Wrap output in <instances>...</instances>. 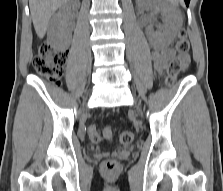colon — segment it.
<instances>
[{"label": "colon", "mask_w": 223, "mask_h": 191, "mask_svg": "<svg viewBox=\"0 0 223 191\" xmlns=\"http://www.w3.org/2000/svg\"><path fill=\"white\" fill-rule=\"evenodd\" d=\"M175 47L178 56L172 58L167 67L166 85L168 87L174 85L175 79L182 68L181 56L186 55L190 50V42L184 30L179 32ZM66 61L67 54L64 51H56L49 45H43L33 60V67L37 73L45 76L54 86H58ZM90 137L95 143H99L103 139H110L112 137V128L108 126L101 129L92 127ZM119 139L122 144L129 145L133 142L134 136L131 131L125 130L120 134ZM119 170L120 164L115 160H108L103 164V171L107 174H116Z\"/></svg>", "instance_id": "obj_1"}]
</instances>
